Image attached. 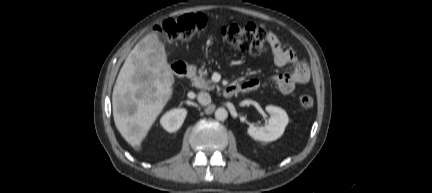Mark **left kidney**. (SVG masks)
Instances as JSON below:
<instances>
[{
    "instance_id": "5707ae66",
    "label": "left kidney",
    "mask_w": 432,
    "mask_h": 193,
    "mask_svg": "<svg viewBox=\"0 0 432 193\" xmlns=\"http://www.w3.org/2000/svg\"><path fill=\"white\" fill-rule=\"evenodd\" d=\"M266 111L270 114L269 122L265 126L256 127L250 125L247 133L255 140L270 142L280 138L288 124L287 113L276 106H266Z\"/></svg>"
}]
</instances>
